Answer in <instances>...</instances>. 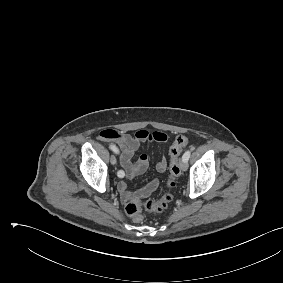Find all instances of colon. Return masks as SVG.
<instances>
[{
    "label": "colon",
    "instance_id": "colon-1",
    "mask_svg": "<svg viewBox=\"0 0 283 283\" xmlns=\"http://www.w3.org/2000/svg\"><path fill=\"white\" fill-rule=\"evenodd\" d=\"M187 144L188 139L184 135H178L169 149L170 166L167 179V187L169 189H173L176 185V177L180 174L181 169L179 164V155ZM172 199L173 195L170 191L166 192L158 200L149 199L142 201L138 197H134L126 203L125 211L128 216L136 221H140L142 219V208L149 212H162L168 207Z\"/></svg>",
    "mask_w": 283,
    "mask_h": 283
}]
</instances>
